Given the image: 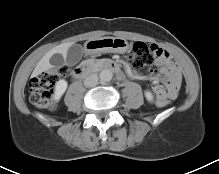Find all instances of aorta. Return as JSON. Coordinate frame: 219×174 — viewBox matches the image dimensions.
I'll list each match as a JSON object with an SVG mask.
<instances>
[{
  "instance_id": "obj_1",
  "label": "aorta",
  "mask_w": 219,
  "mask_h": 174,
  "mask_svg": "<svg viewBox=\"0 0 219 174\" xmlns=\"http://www.w3.org/2000/svg\"><path fill=\"white\" fill-rule=\"evenodd\" d=\"M102 82H109L113 78V73L109 69H104L99 74Z\"/></svg>"
}]
</instances>
